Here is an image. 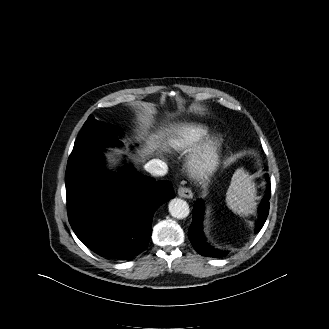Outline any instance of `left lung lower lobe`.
Listing matches in <instances>:
<instances>
[{"label": "left lung lower lobe", "instance_id": "0a47b994", "mask_svg": "<svg viewBox=\"0 0 329 329\" xmlns=\"http://www.w3.org/2000/svg\"><path fill=\"white\" fill-rule=\"evenodd\" d=\"M270 196H271V185L269 184L267 194L260 205V209H259L260 218L256 224V232L261 230L267 219L269 206H270L269 203ZM203 211H204L203 202L201 200H198L195 203L193 209V221L188 231L189 239L193 247L199 254L203 256L214 257V258L223 257L227 254V252H222L217 249H214L205 240L202 231Z\"/></svg>", "mask_w": 329, "mask_h": 329}]
</instances>
